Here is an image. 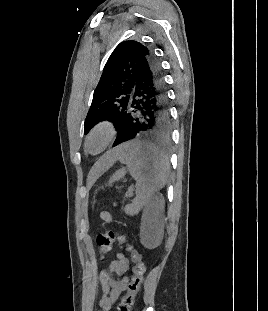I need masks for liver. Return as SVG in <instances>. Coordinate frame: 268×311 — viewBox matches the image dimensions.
Wrapping results in <instances>:
<instances>
[{
	"label": "liver",
	"instance_id": "1",
	"mask_svg": "<svg viewBox=\"0 0 268 311\" xmlns=\"http://www.w3.org/2000/svg\"><path fill=\"white\" fill-rule=\"evenodd\" d=\"M123 146L115 148L107 152L100 160L94 165L90 172V176L93 178L99 177L101 174L106 172L119 158L120 150Z\"/></svg>",
	"mask_w": 268,
	"mask_h": 311
}]
</instances>
